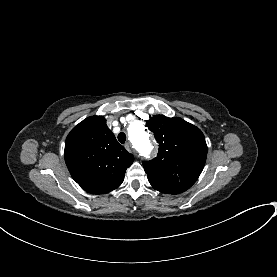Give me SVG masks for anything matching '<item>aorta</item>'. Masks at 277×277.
<instances>
[{
  "label": "aorta",
  "mask_w": 277,
  "mask_h": 277,
  "mask_svg": "<svg viewBox=\"0 0 277 277\" xmlns=\"http://www.w3.org/2000/svg\"><path fill=\"white\" fill-rule=\"evenodd\" d=\"M129 139L138 152L146 156L151 151V144L141 121H134L128 128Z\"/></svg>",
  "instance_id": "obj_1"
}]
</instances>
